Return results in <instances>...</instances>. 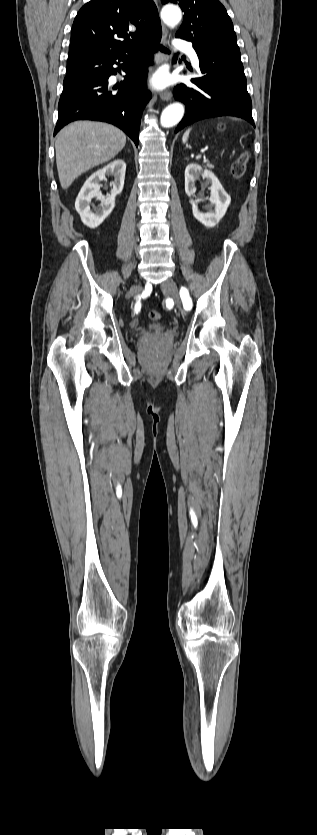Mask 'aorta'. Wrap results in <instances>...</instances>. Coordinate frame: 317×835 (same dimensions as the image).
I'll use <instances>...</instances> for the list:
<instances>
[{
  "label": "aorta",
  "instance_id": "1",
  "mask_svg": "<svg viewBox=\"0 0 317 835\" xmlns=\"http://www.w3.org/2000/svg\"><path fill=\"white\" fill-rule=\"evenodd\" d=\"M163 22L171 27L176 26L182 19L181 9L175 5H167L161 11ZM184 115V106L181 103H174L167 106L160 118L162 128H170L180 122Z\"/></svg>",
  "mask_w": 317,
  "mask_h": 835
}]
</instances>
